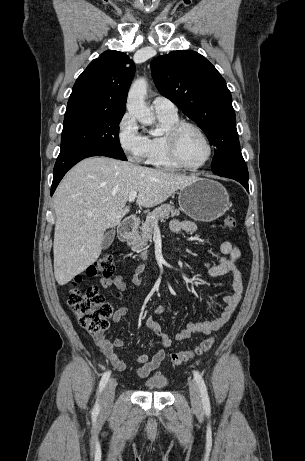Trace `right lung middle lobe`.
<instances>
[{"instance_id":"obj_1","label":"right lung middle lobe","mask_w":305,"mask_h":461,"mask_svg":"<svg viewBox=\"0 0 305 461\" xmlns=\"http://www.w3.org/2000/svg\"><path fill=\"white\" fill-rule=\"evenodd\" d=\"M123 114L92 108L67 109L57 159L99 151L115 159L127 160L119 142V123Z\"/></svg>"}]
</instances>
